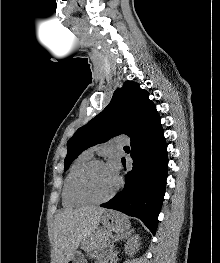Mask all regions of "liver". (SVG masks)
Listing matches in <instances>:
<instances>
[{
	"mask_svg": "<svg viewBox=\"0 0 220 263\" xmlns=\"http://www.w3.org/2000/svg\"><path fill=\"white\" fill-rule=\"evenodd\" d=\"M106 210L96 206L64 209L54 220V249L56 263H68L80 243L99 226Z\"/></svg>",
	"mask_w": 220,
	"mask_h": 263,
	"instance_id": "1",
	"label": "liver"
}]
</instances>
